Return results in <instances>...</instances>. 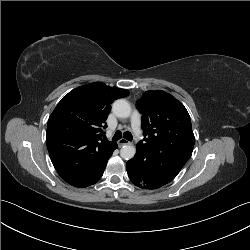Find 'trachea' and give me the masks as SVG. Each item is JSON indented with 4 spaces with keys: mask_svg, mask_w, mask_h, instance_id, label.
Returning a JSON list of instances; mask_svg holds the SVG:
<instances>
[{
    "mask_svg": "<svg viewBox=\"0 0 250 250\" xmlns=\"http://www.w3.org/2000/svg\"><path fill=\"white\" fill-rule=\"evenodd\" d=\"M123 137L128 141H132V139H133V136L130 132H124ZM121 138H122L121 131H116V133L113 136V141H117Z\"/></svg>",
    "mask_w": 250,
    "mask_h": 250,
    "instance_id": "trachea-1",
    "label": "trachea"
}]
</instances>
